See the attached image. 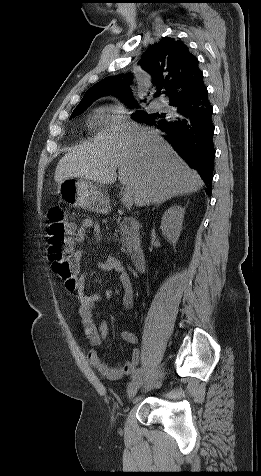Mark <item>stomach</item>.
<instances>
[{"mask_svg": "<svg viewBox=\"0 0 261 476\" xmlns=\"http://www.w3.org/2000/svg\"><path fill=\"white\" fill-rule=\"evenodd\" d=\"M61 196L73 207L107 213L110 209L105 188L84 179L68 178L59 183Z\"/></svg>", "mask_w": 261, "mask_h": 476, "instance_id": "0dacf381", "label": "stomach"}]
</instances>
